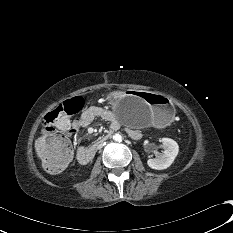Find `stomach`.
I'll return each mask as SVG.
<instances>
[{"label":"stomach","mask_w":233,"mask_h":233,"mask_svg":"<svg viewBox=\"0 0 233 233\" xmlns=\"http://www.w3.org/2000/svg\"><path fill=\"white\" fill-rule=\"evenodd\" d=\"M109 100L114 117L133 127L166 124L173 120L175 109L164 95L144 91H115Z\"/></svg>","instance_id":"0dacf381"}]
</instances>
